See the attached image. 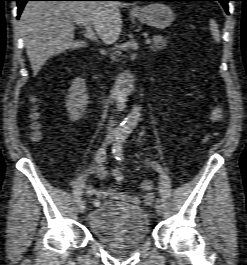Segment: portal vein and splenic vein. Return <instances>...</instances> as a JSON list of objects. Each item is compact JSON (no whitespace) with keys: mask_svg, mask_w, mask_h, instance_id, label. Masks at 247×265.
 Wrapping results in <instances>:
<instances>
[{"mask_svg":"<svg viewBox=\"0 0 247 265\" xmlns=\"http://www.w3.org/2000/svg\"><path fill=\"white\" fill-rule=\"evenodd\" d=\"M85 37L92 41H97V37L95 33L92 31L91 25L86 26ZM150 43L151 41L149 39H147L145 42L146 45H149Z\"/></svg>","mask_w":247,"mask_h":265,"instance_id":"portal-vein-and-splenic-vein-1","label":"portal vein and splenic vein"}]
</instances>
